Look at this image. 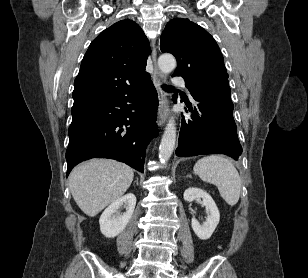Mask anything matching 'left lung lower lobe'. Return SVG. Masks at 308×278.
Segmentation results:
<instances>
[{
    "label": "left lung lower lobe",
    "instance_id": "obj_1",
    "mask_svg": "<svg viewBox=\"0 0 308 278\" xmlns=\"http://www.w3.org/2000/svg\"><path fill=\"white\" fill-rule=\"evenodd\" d=\"M198 104L192 109L191 116L182 114L179 157L200 154H225L235 160L242 153L233 118V103L230 97L228 79L209 83L198 90L190 91ZM177 101L176 95L173 96Z\"/></svg>",
    "mask_w": 308,
    "mask_h": 278
}]
</instances>
